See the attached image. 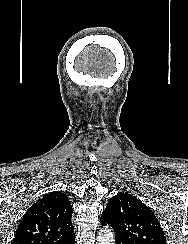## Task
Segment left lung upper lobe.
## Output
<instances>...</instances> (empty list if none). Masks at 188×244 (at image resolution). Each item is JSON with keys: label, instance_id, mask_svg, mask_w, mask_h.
Here are the masks:
<instances>
[{"label": "left lung upper lobe", "instance_id": "left-lung-upper-lobe-1", "mask_svg": "<svg viewBox=\"0 0 188 244\" xmlns=\"http://www.w3.org/2000/svg\"><path fill=\"white\" fill-rule=\"evenodd\" d=\"M101 222L113 227L116 244H166L156 216L128 193H118L110 199Z\"/></svg>", "mask_w": 188, "mask_h": 244}]
</instances>
